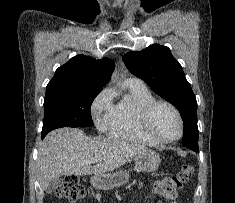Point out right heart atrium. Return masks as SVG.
Instances as JSON below:
<instances>
[{
  "instance_id": "1",
  "label": "right heart atrium",
  "mask_w": 235,
  "mask_h": 203,
  "mask_svg": "<svg viewBox=\"0 0 235 203\" xmlns=\"http://www.w3.org/2000/svg\"><path fill=\"white\" fill-rule=\"evenodd\" d=\"M112 107L111 91L104 88L96 95L90 108L93 120L100 130L106 129Z\"/></svg>"
}]
</instances>
